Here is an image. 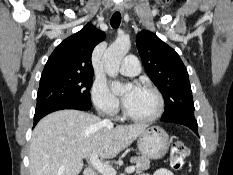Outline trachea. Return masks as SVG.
<instances>
[{
  "label": "trachea",
  "instance_id": "obj_1",
  "mask_svg": "<svg viewBox=\"0 0 233 175\" xmlns=\"http://www.w3.org/2000/svg\"><path fill=\"white\" fill-rule=\"evenodd\" d=\"M121 23V14L120 12H115L111 18V26L116 29Z\"/></svg>",
  "mask_w": 233,
  "mask_h": 175
}]
</instances>
